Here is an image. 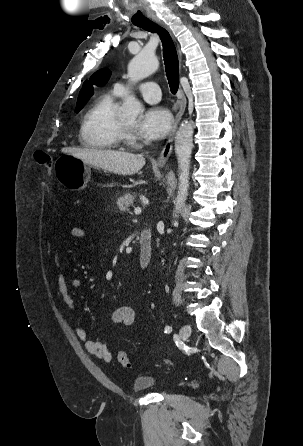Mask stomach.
Wrapping results in <instances>:
<instances>
[{
    "instance_id": "obj_1",
    "label": "stomach",
    "mask_w": 303,
    "mask_h": 446,
    "mask_svg": "<svg viewBox=\"0 0 303 446\" xmlns=\"http://www.w3.org/2000/svg\"><path fill=\"white\" fill-rule=\"evenodd\" d=\"M54 173L62 186L72 191H79L84 189L90 180L91 165L65 154L55 161Z\"/></svg>"
}]
</instances>
